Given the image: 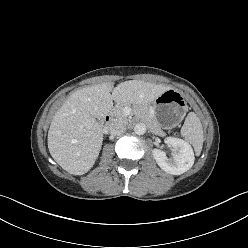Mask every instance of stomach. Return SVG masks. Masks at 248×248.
<instances>
[{
    "mask_svg": "<svg viewBox=\"0 0 248 248\" xmlns=\"http://www.w3.org/2000/svg\"><path fill=\"white\" fill-rule=\"evenodd\" d=\"M186 110L184 97L176 89L166 90L152 104L153 119L165 129L176 126L185 116Z\"/></svg>",
    "mask_w": 248,
    "mask_h": 248,
    "instance_id": "1",
    "label": "stomach"
}]
</instances>
